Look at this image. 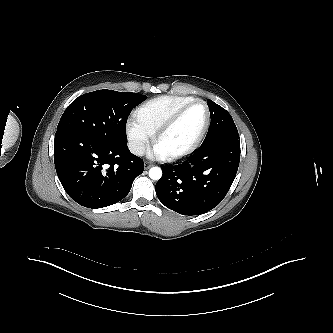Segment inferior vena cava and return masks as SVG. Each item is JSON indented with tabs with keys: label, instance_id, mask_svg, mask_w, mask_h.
<instances>
[{
	"label": "inferior vena cava",
	"instance_id": "602c4592",
	"mask_svg": "<svg viewBox=\"0 0 333 333\" xmlns=\"http://www.w3.org/2000/svg\"><path fill=\"white\" fill-rule=\"evenodd\" d=\"M129 150L138 156H142L145 152V145L142 142L131 141L128 144Z\"/></svg>",
	"mask_w": 333,
	"mask_h": 333
}]
</instances>
